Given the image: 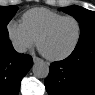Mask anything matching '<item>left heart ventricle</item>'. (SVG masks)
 <instances>
[{
  "instance_id": "obj_1",
  "label": "left heart ventricle",
  "mask_w": 95,
  "mask_h": 95,
  "mask_svg": "<svg viewBox=\"0 0 95 95\" xmlns=\"http://www.w3.org/2000/svg\"><path fill=\"white\" fill-rule=\"evenodd\" d=\"M77 36V23L72 19L65 20L42 40L41 49L47 55L59 56L74 45Z\"/></svg>"
}]
</instances>
